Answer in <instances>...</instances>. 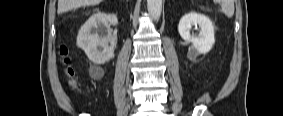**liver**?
Returning a JSON list of instances; mask_svg holds the SVG:
<instances>
[{
    "label": "liver",
    "instance_id": "1",
    "mask_svg": "<svg viewBox=\"0 0 283 116\" xmlns=\"http://www.w3.org/2000/svg\"><path fill=\"white\" fill-rule=\"evenodd\" d=\"M102 0H58V14L68 12L80 6L96 5Z\"/></svg>",
    "mask_w": 283,
    "mask_h": 116
}]
</instances>
